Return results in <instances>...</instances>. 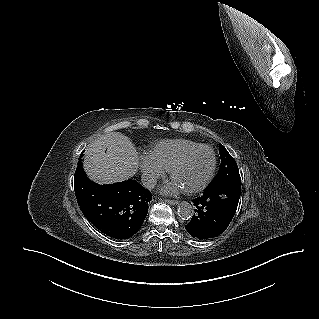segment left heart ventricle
Instances as JSON below:
<instances>
[{
    "label": "left heart ventricle",
    "mask_w": 319,
    "mask_h": 319,
    "mask_svg": "<svg viewBox=\"0 0 319 319\" xmlns=\"http://www.w3.org/2000/svg\"><path fill=\"white\" fill-rule=\"evenodd\" d=\"M212 165V153L208 149H200L174 173L173 180L183 190L192 189L201 184L207 177Z\"/></svg>",
    "instance_id": "left-heart-ventricle-1"
}]
</instances>
